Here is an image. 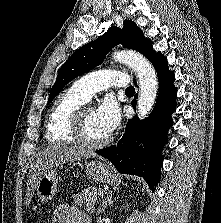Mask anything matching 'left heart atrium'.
I'll use <instances>...</instances> for the list:
<instances>
[{
  "label": "left heart atrium",
  "instance_id": "39dd6f15",
  "mask_svg": "<svg viewBox=\"0 0 221 223\" xmlns=\"http://www.w3.org/2000/svg\"><path fill=\"white\" fill-rule=\"evenodd\" d=\"M96 115L102 129L109 135L120 124L121 111L112 97H106L96 110Z\"/></svg>",
  "mask_w": 221,
  "mask_h": 223
}]
</instances>
